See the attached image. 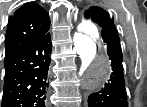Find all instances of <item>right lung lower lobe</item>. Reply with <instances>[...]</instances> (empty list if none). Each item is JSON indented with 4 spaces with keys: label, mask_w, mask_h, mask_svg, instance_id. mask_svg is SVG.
Listing matches in <instances>:
<instances>
[{
    "label": "right lung lower lobe",
    "mask_w": 147,
    "mask_h": 107,
    "mask_svg": "<svg viewBox=\"0 0 147 107\" xmlns=\"http://www.w3.org/2000/svg\"><path fill=\"white\" fill-rule=\"evenodd\" d=\"M50 33L5 57L2 107H45L50 65Z\"/></svg>",
    "instance_id": "98d812e1"
}]
</instances>
